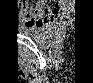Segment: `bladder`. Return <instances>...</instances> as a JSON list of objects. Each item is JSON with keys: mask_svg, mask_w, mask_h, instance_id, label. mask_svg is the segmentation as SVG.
Returning <instances> with one entry per match:
<instances>
[{"mask_svg": "<svg viewBox=\"0 0 93 83\" xmlns=\"http://www.w3.org/2000/svg\"><path fill=\"white\" fill-rule=\"evenodd\" d=\"M27 32L29 34H31L32 36H35L36 38H38L39 40H43L46 38V33L44 32V30L40 27H29L27 29Z\"/></svg>", "mask_w": 93, "mask_h": 83, "instance_id": "31cf9c89", "label": "bladder"}]
</instances>
